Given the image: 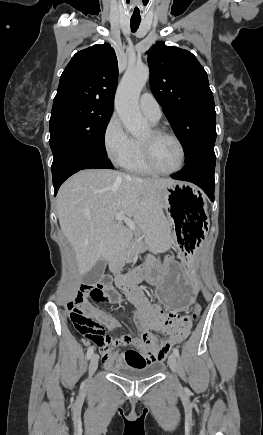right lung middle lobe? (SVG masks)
I'll return each instance as SVG.
<instances>
[{"instance_id":"right-lung-middle-lobe-1","label":"right lung middle lobe","mask_w":263,"mask_h":435,"mask_svg":"<svg viewBox=\"0 0 263 435\" xmlns=\"http://www.w3.org/2000/svg\"><path fill=\"white\" fill-rule=\"evenodd\" d=\"M113 109L96 103L53 106L49 144L54 160L73 148L107 156L104 137Z\"/></svg>"}]
</instances>
